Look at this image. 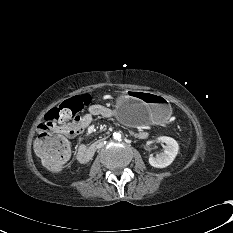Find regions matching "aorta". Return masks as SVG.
<instances>
[{"mask_svg": "<svg viewBox=\"0 0 233 233\" xmlns=\"http://www.w3.org/2000/svg\"><path fill=\"white\" fill-rule=\"evenodd\" d=\"M121 134L119 133V132H115L114 134H113V138L115 139V140H117V141H120L121 140Z\"/></svg>", "mask_w": 233, "mask_h": 233, "instance_id": "obj_1", "label": "aorta"}]
</instances>
